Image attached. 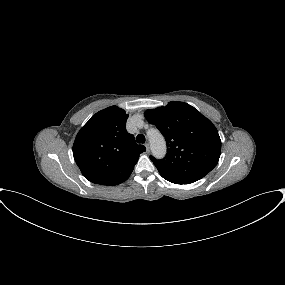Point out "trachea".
<instances>
[{"mask_svg":"<svg viewBox=\"0 0 285 285\" xmlns=\"http://www.w3.org/2000/svg\"><path fill=\"white\" fill-rule=\"evenodd\" d=\"M136 140L138 143L143 144V143H145V136L143 134H139V135H137Z\"/></svg>","mask_w":285,"mask_h":285,"instance_id":"obj_1","label":"trachea"}]
</instances>
